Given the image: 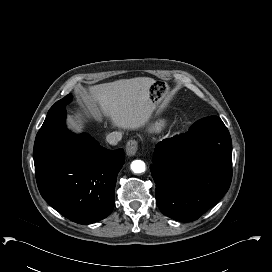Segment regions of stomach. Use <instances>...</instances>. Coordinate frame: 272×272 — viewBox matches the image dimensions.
Returning a JSON list of instances; mask_svg holds the SVG:
<instances>
[{
	"label": "stomach",
	"mask_w": 272,
	"mask_h": 272,
	"mask_svg": "<svg viewBox=\"0 0 272 272\" xmlns=\"http://www.w3.org/2000/svg\"><path fill=\"white\" fill-rule=\"evenodd\" d=\"M169 87L164 82L154 81L149 87V99L154 108H162L168 100Z\"/></svg>",
	"instance_id": "1"
}]
</instances>
